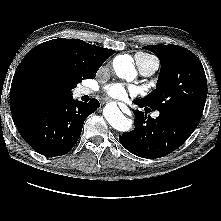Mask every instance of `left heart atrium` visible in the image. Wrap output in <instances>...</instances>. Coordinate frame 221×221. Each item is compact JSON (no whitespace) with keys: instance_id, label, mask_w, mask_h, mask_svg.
I'll return each instance as SVG.
<instances>
[{"instance_id":"39dd6f15","label":"left heart atrium","mask_w":221,"mask_h":221,"mask_svg":"<svg viewBox=\"0 0 221 221\" xmlns=\"http://www.w3.org/2000/svg\"><path fill=\"white\" fill-rule=\"evenodd\" d=\"M107 94L116 99H124L127 96V90L121 84H113L107 87Z\"/></svg>"}]
</instances>
